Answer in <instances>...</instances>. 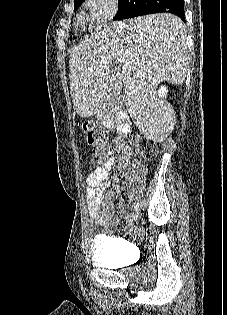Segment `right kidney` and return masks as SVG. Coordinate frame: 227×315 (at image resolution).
Returning a JSON list of instances; mask_svg holds the SVG:
<instances>
[{
  "label": "right kidney",
  "mask_w": 227,
  "mask_h": 315,
  "mask_svg": "<svg viewBox=\"0 0 227 315\" xmlns=\"http://www.w3.org/2000/svg\"><path fill=\"white\" fill-rule=\"evenodd\" d=\"M167 93H168L167 87L162 85L159 87L157 92L159 98H166Z\"/></svg>",
  "instance_id": "1"
}]
</instances>
